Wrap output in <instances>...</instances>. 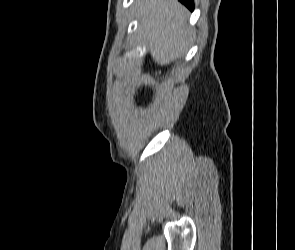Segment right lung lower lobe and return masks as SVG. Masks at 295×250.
I'll return each mask as SVG.
<instances>
[{"label": "right lung lower lobe", "instance_id": "98d812e1", "mask_svg": "<svg viewBox=\"0 0 295 250\" xmlns=\"http://www.w3.org/2000/svg\"><path fill=\"white\" fill-rule=\"evenodd\" d=\"M179 1L182 2L183 4H185L190 10L193 11V9H194L193 0H179Z\"/></svg>", "mask_w": 295, "mask_h": 250}]
</instances>
